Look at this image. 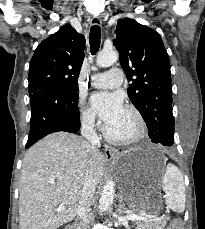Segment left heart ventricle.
Here are the masks:
<instances>
[{"mask_svg":"<svg viewBox=\"0 0 205 229\" xmlns=\"http://www.w3.org/2000/svg\"><path fill=\"white\" fill-rule=\"evenodd\" d=\"M107 129L114 136L127 137L135 132L136 122L132 114L124 109L113 123L107 125Z\"/></svg>","mask_w":205,"mask_h":229,"instance_id":"obj_1","label":"left heart ventricle"}]
</instances>
